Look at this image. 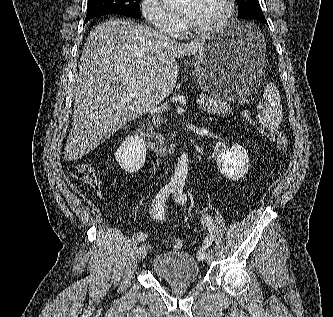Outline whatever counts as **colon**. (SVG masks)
<instances>
[{
	"mask_svg": "<svg viewBox=\"0 0 333 317\" xmlns=\"http://www.w3.org/2000/svg\"><path fill=\"white\" fill-rule=\"evenodd\" d=\"M243 118L254 127L258 128L260 133L268 140L277 144L281 149L285 150L288 146V141L286 136L279 130L275 129H265L259 127L257 123L254 122L250 111L245 110L242 112ZM69 174L76 180L86 182L93 187L100 186V178L94 168L88 164H75L68 169ZM183 242L180 239H174L171 242V247L175 250L181 249Z\"/></svg>",
	"mask_w": 333,
	"mask_h": 317,
	"instance_id": "obj_1",
	"label": "colon"
}]
</instances>
